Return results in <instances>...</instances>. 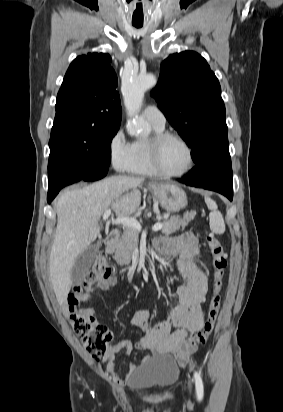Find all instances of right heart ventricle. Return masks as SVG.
Instances as JSON below:
<instances>
[{
    "instance_id": "obj_1",
    "label": "right heart ventricle",
    "mask_w": 283,
    "mask_h": 412,
    "mask_svg": "<svg viewBox=\"0 0 283 412\" xmlns=\"http://www.w3.org/2000/svg\"><path fill=\"white\" fill-rule=\"evenodd\" d=\"M152 136L139 138L130 143V157L126 167V171L132 174L151 176L156 175L150 158V142L151 138L164 131V127L156 126L149 123Z\"/></svg>"
}]
</instances>
